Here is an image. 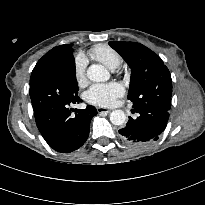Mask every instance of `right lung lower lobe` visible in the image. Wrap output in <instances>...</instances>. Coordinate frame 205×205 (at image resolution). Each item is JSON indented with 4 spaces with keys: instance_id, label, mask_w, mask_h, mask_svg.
<instances>
[{
    "instance_id": "1",
    "label": "right lung lower lobe",
    "mask_w": 205,
    "mask_h": 205,
    "mask_svg": "<svg viewBox=\"0 0 205 205\" xmlns=\"http://www.w3.org/2000/svg\"><path fill=\"white\" fill-rule=\"evenodd\" d=\"M72 60L74 57L69 56L59 67L30 82L36 125L49 146L61 153L72 152L85 143L90 121L97 114L91 105L83 110L69 108L70 104L82 102L77 80L67 68Z\"/></svg>"
}]
</instances>
